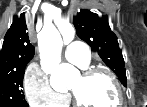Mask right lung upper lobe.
<instances>
[{
  "label": "right lung upper lobe",
  "mask_w": 147,
  "mask_h": 107,
  "mask_svg": "<svg viewBox=\"0 0 147 107\" xmlns=\"http://www.w3.org/2000/svg\"><path fill=\"white\" fill-rule=\"evenodd\" d=\"M35 54L28 38L24 13L15 17L0 52V75L26 68Z\"/></svg>",
  "instance_id": "1"
}]
</instances>
